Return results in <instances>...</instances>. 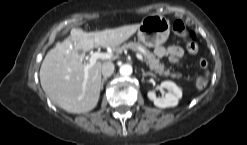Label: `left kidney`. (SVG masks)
<instances>
[{"instance_id":"left-kidney-1","label":"left kidney","mask_w":247,"mask_h":145,"mask_svg":"<svg viewBox=\"0 0 247 145\" xmlns=\"http://www.w3.org/2000/svg\"><path fill=\"white\" fill-rule=\"evenodd\" d=\"M161 87L168 90L165 97H156L155 91H149L147 96L153 101L154 105L159 108L175 107L178 105L179 99L182 98V90L172 81H163Z\"/></svg>"}]
</instances>
